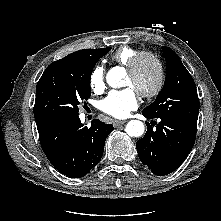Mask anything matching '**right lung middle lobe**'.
Returning <instances> with one entry per match:
<instances>
[{
    "label": "right lung middle lobe",
    "instance_id": "obj_1",
    "mask_svg": "<svg viewBox=\"0 0 221 221\" xmlns=\"http://www.w3.org/2000/svg\"><path fill=\"white\" fill-rule=\"evenodd\" d=\"M110 49L58 60L46 68L36 87L34 117L37 125L78 116L79 104L91 95L92 70Z\"/></svg>",
    "mask_w": 221,
    "mask_h": 221
}]
</instances>
